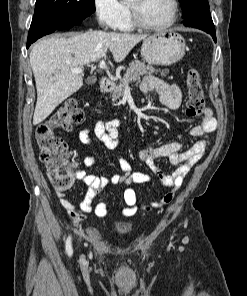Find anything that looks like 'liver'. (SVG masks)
Returning <instances> with one entry per match:
<instances>
[{
  "label": "liver",
  "mask_w": 247,
  "mask_h": 296,
  "mask_svg": "<svg viewBox=\"0 0 247 296\" xmlns=\"http://www.w3.org/2000/svg\"><path fill=\"white\" fill-rule=\"evenodd\" d=\"M145 38L146 35L88 31L39 41L30 52L37 89L33 124L44 121L59 104L82 87V74L72 73V69L105 57L108 49L114 60L121 62Z\"/></svg>",
  "instance_id": "1"
}]
</instances>
